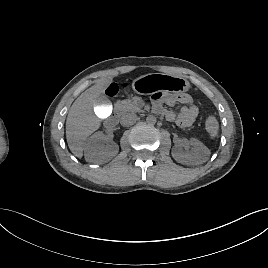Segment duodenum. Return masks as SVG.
Wrapping results in <instances>:
<instances>
[{
	"label": "duodenum",
	"instance_id": "obj_1",
	"mask_svg": "<svg viewBox=\"0 0 268 268\" xmlns=\"http://www.w3.org/2000/svg\"><path fill=\"white\" fill-rule=\"evenodd\" d=\"M118 114L114 113L113 115H111L107 120H106V124L108 127H112L114 126L117 121H118Z\"/></svg>",
	"mask_w": 268,
	"mask_h": 268
}]
</instances>
